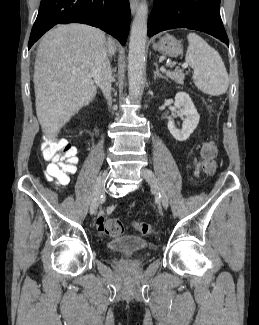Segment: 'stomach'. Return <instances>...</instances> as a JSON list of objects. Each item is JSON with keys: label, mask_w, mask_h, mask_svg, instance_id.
<instances>
[{"label": "stomach", "mask_w": 259, "mask_h": 325, "mask_svg": "<svg viewBox=\"0 0 259 325\" xmlns=\"http://www.w3.org/2000/svg\"><path fill=\"white\" fill-rule=\"evenodd\" d=\"M153 48L169 57H177L183 51L181 42L169 34L164 35L159 42L154 43Z\"/></svg>", "instance_id": "obj_1"}]
</instances>
